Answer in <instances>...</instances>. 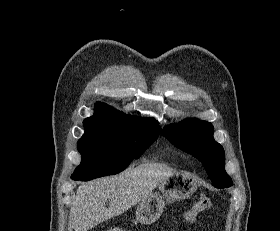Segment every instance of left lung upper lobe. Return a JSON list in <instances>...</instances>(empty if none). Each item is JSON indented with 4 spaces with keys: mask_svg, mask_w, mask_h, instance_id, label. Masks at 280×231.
I'll use <instances>...</instances> for the list:
<instances>
[{
    "mask_svg": "<svg viewBox=\"0 0 280 231\" xmlns=\"http://www.w3.org/2000/svg\"><path fill=\"white\" fill-rule=\"evenodd\" d=\"M213 131L211 123L192 118L164 127L162 135L201 161L214 187H230L232 180L224 169V150L214 140Z\"/></svg>",
    "mask_w": 280,
    "mask_h": 231,
    "instance_id": "left-lung-upper-lobe-1",
    "label": "left lung upper lobe"
}]
</instances>
